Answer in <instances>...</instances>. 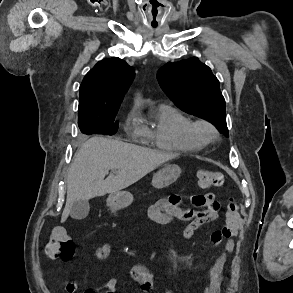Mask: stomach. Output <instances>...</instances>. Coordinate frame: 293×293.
Returning a JSON list of instances; mask_svg holds the SVG:
<instances>
[{
	"mask_svg": "<svg viewBox=\"0 0 293 293\" xmlns=\"http://www.w3.org/2000/svg\"><path fill=\"white\" fill-rule=\"evenodd\" d=\"M181 174L178 165L167 164L154 174L152 186L156 189H162L175 182ZM133 202V195L127 191L111 193L107 199V205L112 210H120L128 207Z\"/></svg>",
	"mask_w": 293,
	"mask_h": 293,
	"instance_id": "obj_1",
	"label": "stomach"
}]
</instances>
